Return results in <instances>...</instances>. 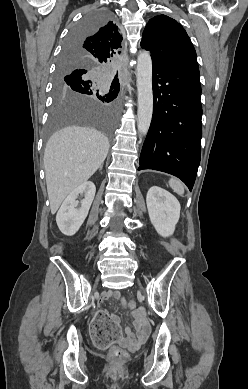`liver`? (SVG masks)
I'll return each instance as SVG.
<instances>
[{
	"mask_svg": "<svg viewBox=\"0 0 248 389\" xmlns=\"http://www.w3.org/2000/svg\"><path fill=\"white\" fill-rule=\"evenodd\" d=\"M108 150V138L90 127L70 126L51 136L44 152V170L52 214L97 171Z\"/></svg>",
	"mask_w": 248,
	"mask_h": 389,
	"instance_id": "6515ba94",
	"label": "liver"
}]
</instances>
